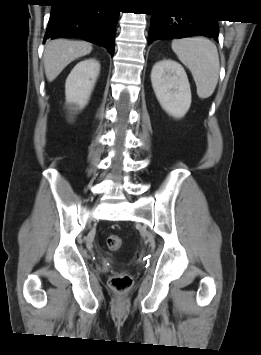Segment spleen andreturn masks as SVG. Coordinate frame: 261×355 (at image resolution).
I'll list each match as a JSON object with an SVG mask.
<instances>
[{
	"instance_id": "3e777b00",
	"label": "spleen",
	"mask_w": 261,
	"mask_h": 355,
	"mask_svg": "<svg viewBox=\"0 0 261 355\" xmlns=\"http://www.w3.org/2000/svg\"><path fill=\"white\" fill-rule=\"evenodd\" d=\"M171 46L178 59L191 71L199 98L210 97L219 78L220 64L216 45L207 38L193 37L174 39Z\"/></svg>"
}]
</instances>
